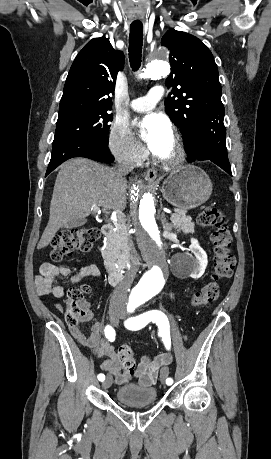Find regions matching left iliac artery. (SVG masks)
Segmentation results:
<instances>
[{"instance_id":"left-iliac-artery-1","label":"left iliac artery","mask_w":271,"mask_h":459,"mask_svg":"<svg viewBox=\"0 0 271 459\" xmlns=\"http://www.w3.org/2000/svg\"><path fill=\"white\" fill-rule=\"evenodd\" d=\"M137 306H139V303H130V305H128L127 312H132ZM150 321L156 323L158 326V335L162 336L163 343L166 349L169 350L171 348L170 326L168 318L163 312L159 310H151L139 316L131 317L125 321V327L129 330L136 331L146 326ZM166 386L173 387V380L171 378L166 380Z\"/></svg>"}]
</instances>
